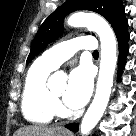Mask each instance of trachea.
I'll return each instance as SVG.
<instances>
[{
  "label": "trachea",
  "instance_id": "1",
  "mask_svg": "<svg viewBox=\"0 0 136 136\" xmlns=\"http://www.w3.org/2000/svg\"><path fill=\"white\" fill-rule=\"evenodd\" d=\"M98 54H99L98 51L93 52V56H98Z\"/></svg>",
  "mask_w": 136,
  "mask_h": 136
}]
</instances>
